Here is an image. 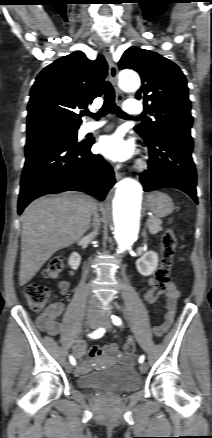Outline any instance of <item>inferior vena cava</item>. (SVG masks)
<instances>
[{"label": "inferior vena cava", "mask_w": 212, "mask_h": 438, "mask_svg": "<svg viewBox=\"0 0 212 438\" xmlns=\"http://www.w3.org/2000/svg\"><path fill=\"white\" fill-rule=\"evenodd\" d=\"M93 214H94V220H93V225L92 226L94 228V231L92 232L91 235L95 236V235L98 234V230H99V227H100V220H99V215L97 214V211H95ZM88 304H89V307H91V308L98 307V301H97V299L94 296H91L89 298Z\"/></svg>", "instance_id": "602c4592"}]
</instances>
